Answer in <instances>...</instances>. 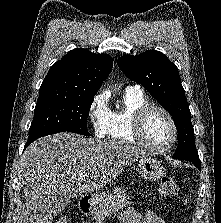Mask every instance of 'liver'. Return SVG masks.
Segmentation results:
<instances>
[{"instance_id":"liver-1","label":"liver","mask_w":221,"mask_h":223,"mask_svg":"<svg viewBox=\"0 0 221 223\" xmlns=\"http://www.w3.org/2000/svg\"><path fill=\"white\" fill-rule=\"evenodd\" d=\"M150 156L122 141L84 138L61 132L34 141L20 161L26 199L23 223H53L60 197L76 198L110 184L134 160ZM90 179L81 184V176Z\"/></svg>"}]
</instances>
